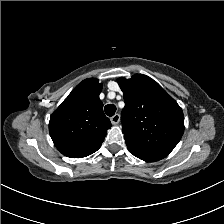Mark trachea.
Segmentation results:
<instances>
[{"label":"trachea","mask_w":224,"mask_h":224,"mask_svg":"<svg viewBox=\"0 0 224 224\" xmlns=\"http://www.w3.org/2000/svg\"><path fill=\"white\" fill-rule=\"evenodd\" d=\"M104 110L108 116H113L116 112V106L114 104H108L105 106Z\"/></svg>","instance_id":"obj_1"}]
</instances>
